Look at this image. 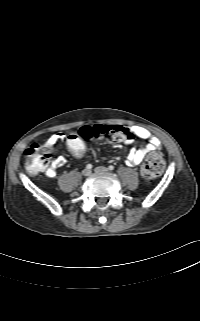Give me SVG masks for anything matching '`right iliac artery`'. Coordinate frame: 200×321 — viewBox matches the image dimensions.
Segmentation results:
<instances>
[{"instance_id":"obj_1","label":"right iliac artery","mask_w":200,"mask_h":321,"mask_svg":"<svg viewBox=\"0 0 200 321\" xmlns=\"http://www.w3.org/2000/svg\"><path fill=\"white\" fill-rule=\"evenodd\" d=\"M92 167H93V166H92L91 164H88V165L86 166L87 169H92Z\"/></svg>"}]
</instances>
